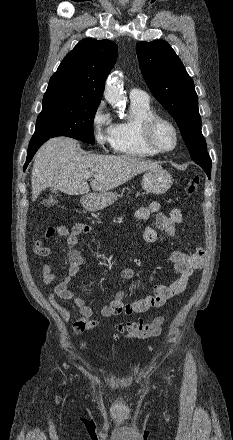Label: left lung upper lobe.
Wrapping results in <instances>:
<instances>
[{
	"instance_id": "left-lung-upper-lobe-1",
	"label": "left lung upper lobe",
	"mask_w": 233,
	"mask_h": 440,
	"mask_svg": "<svg viewBox=\"0 0 233 440\" xmlns=\"http://www.w3.org/2000/svg\"><path fill=\"white\" fill-rule=\"evenodd\" d=\"M136 52L150 91L177 122L192 160H209L201 132L198 97L180 58L163 40L139 42Z\"/></svg>"
}]
</instances>
